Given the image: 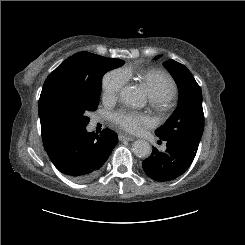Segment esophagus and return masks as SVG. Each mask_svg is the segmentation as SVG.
<instances>
[{"label": "esophagus", "mask_w": 245, "mask_h": 245, "mask_svg": "<svg viewBox=\"0 0 245 245\" xmlns=\"http://www.w3.org/2000/svg\"><path fill=\"white\" fill-rule=\"evenodd\" d=\"M119 140L120 141H133L134 137L120 134L119 135Z\"/></svg>", "instance_id": "34e87169"}]
</instances>
